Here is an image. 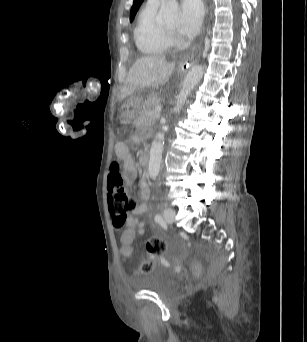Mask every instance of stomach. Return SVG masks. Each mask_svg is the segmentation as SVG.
Segmentation results:
<instances>
[{
    "mask_svg": "<svg viewBox=\"0 0 307 342\" xmlns=\"http://www.w3.org/2000/svg\"><path fill=\"white\" fill-rule=\"evenodd\" d=\"M184 70L183 66L178 67V72ZM141 103L138 98L128 99L122 106L119 112L120 123L125 124L132 121L140 112Z\"/></svg>",
    "mask_w": 307,
    "mask_h": 342,
    "instance_id": "stomach-1",
    "label": "stomach"
}]
</instances>
